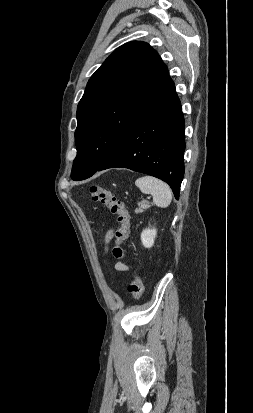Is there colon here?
<instances>
[{
	"instance_id": "5ec220e1",
	"label": "colon",
	"mask_w": 253,
	"mask_h": 413,
	"mask_svg": "<svg viewBox=\"0 0 253 413\" xmlns=\"http://www.w3.org/2000/svg\"><path fill=\"white\" fill-rule=\"evenodd\" d=\"M88 192L94 201L100 202L106 206L112 215L115 216L119 227L115 231V243L112 247L111 254L115 259L124 258L125 252L122 245L128 240L130 235V214L125 204L110 191L96 185L90 186ZM128 290L136 300L141 298L143 285L137 272H134L133 280L128 285Z\"/></svg>"
}]
</instances>
